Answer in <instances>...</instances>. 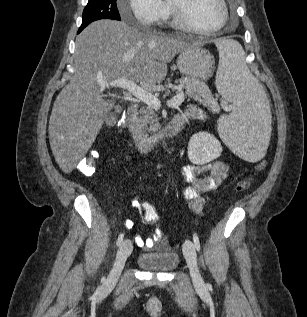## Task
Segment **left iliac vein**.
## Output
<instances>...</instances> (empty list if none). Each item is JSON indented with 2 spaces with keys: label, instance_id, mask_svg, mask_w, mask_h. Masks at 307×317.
I'll return each instance as SVG.
<instances>
[{
  "label": "left iliac vein",
  "instance_id": "left-iliac-vein-1",
  "mask_svg": "<svg viewBox=\"0 0 307 317\" xmlns=\"http://www.w3.org/2000/svg\"><path fill=\"white\" fill-rule=\"evenodd\" d=\"M183 253H184V256L186 258L187 264L190 268V273H191L194 285L198 289H201V290L204 289L205 284H204V281L200 275V272H199L198 266H197L195 246L191 240H186L184 242Z\"/></svg>",
  "mask_w": 307,
  "mask_h": 317
}]
</instances>
